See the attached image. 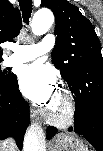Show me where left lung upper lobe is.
Masks as SVG:
<instances>
[{
  "mask_svg": "<svg viewBox=\"0 0 103 151\" xmlns=\"http://www.w3.org/2000/svg\"><path fill=\"white\" fill-rule=\"evenodd\" d=\"M56 19V45L52 62L69 84L74 78L88 77L91 62L103 63L100 41L91 22L67 0H42Z\"/></svg>",
  "mask_w": 103,
  "mask_h": 151,
  "instance_id": "1",
  "label": "left lung upper lobe"
}]
</instances>
